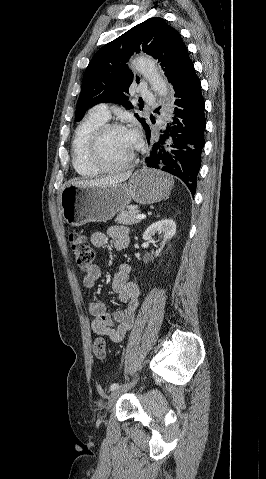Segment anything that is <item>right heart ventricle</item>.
<instances>
[{
    "instance_id": "right-heart-ventricle-1",
    "label": "right heart ventricle",
    "mask_w": 266,
    "mask_h": 479,
    "mask_svg": "<svg viewBox=\"0 0 266 479\" xmlns=\"http://www.w3.org/2000/svg\"><path fill=\"white\" fill-rule=\"evenodd\" d=\"M106 121L107 119L91 111L75 131L72 141L73 167L75 171L83 177L93 178L101 174L100 171L96 170L89 163L87 148L94 131L106 123Z\"/></svg>"
}]
</instances>
